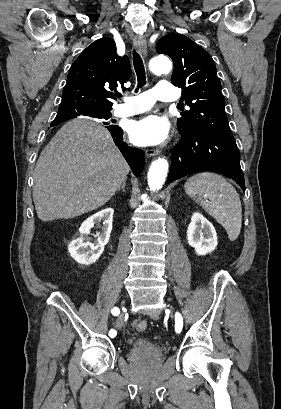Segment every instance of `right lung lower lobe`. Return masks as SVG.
<instances>
[{"mask_svg": "<svg viewBox=\"0 0 281 409\" xmlns=\"http://www.w3.org/2000/svg\"><path fill=\"white\" fill-rule=\"evenodd\" d=\"M89 115L92 117H97L98 112L96 111H72V110H63L59 111L56 118L57 119H71L79 115ZM116 146L120 149L126 161L129 163L133 173L136 176H139L144 167L145 155L144 152L140 149L129 147L123 141V131L118 126H108Z\"/></svg>", "mask_w": 281, "mask_h": 409, "instance_id": "right-lung-lower-lobe-1", "label": "right lung lower lobe"}]
</instances>
